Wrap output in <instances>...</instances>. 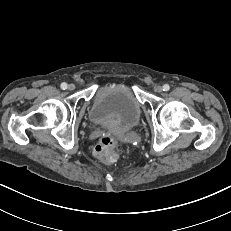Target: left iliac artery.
<instances>
[{
  "label": "left iliac artery",
  "instance_id": "44dca946",
  "mask_svg": "<svg viewBox=\"0 0 231 231\" xmlns=\"http://www.w3.org/2000/svg\"><path fill=\"white\" fill-rule=\"evenodd\" d=\"M170 86L168 84L163 85V91H169Z\"/></svg>",
  "mask_w": 231,
  "mask_h": 231
}]
</instances>
